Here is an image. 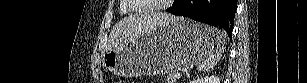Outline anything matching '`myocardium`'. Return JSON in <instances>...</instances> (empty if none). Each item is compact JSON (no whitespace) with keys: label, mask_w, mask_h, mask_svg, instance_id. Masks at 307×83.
Instances as JSON below:
<instances>
[{"label":"myocardium","mask_w":307,"mask_h":83,"mask_svg":"<svg viewBox=\"0 0 307 83\" xmlns=\"http://www.w3.org/2000/svg\"><path fill=\"white\" fill-rule=\"evenodd\" d=\"M125 1L129 3L128 7L130 8V10L132 11L135 10L138 13L161 12L167 7L166 4L173 2V0H164L162 3H159L158 5L141 8L139 5H136L132 0H125Z\"/></svg>","instance_id":"obj_1"}]
</instances>
